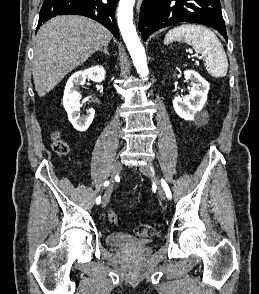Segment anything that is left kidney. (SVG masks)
I'll return each mask as SVG.
<instances>
[{
	"label": "left kidney",
	"mask_w": 259,
	"mask_h": 294,
	"mask_svg": "<svg viewBox=\"0 0 259 294\" xmlns=\"http://www.w3.org/2000/svg\"><path fill=\"white\" fill-rule=\"evenodd\" d=\"M184 76L191 81V91L185 99L177 96L173 100V107L179 117L184 120H195L200 117L209 91V83L193 70L184 71Z\"/></svg>",
	"instance_id": "1"
}]
</instances>
